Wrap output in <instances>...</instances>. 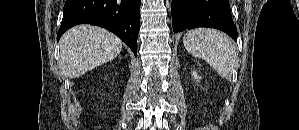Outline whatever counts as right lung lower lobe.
<instances>
[{"label": "right lung lower lobe", "instance_id": "obj_1", "mask_svg": "<svg viewBox=\"0 0 299 130\" xmlns=\"http://www.w3.org/2000/svg\"><path fill=\"white\" fill-rule=\"evenodd\" d=\"M57 40L82 23L105 28L117 35L137 55L140 0H66Z\"/></svg>", "mask_w": 299, "mask_h": 130}]
</instances>
